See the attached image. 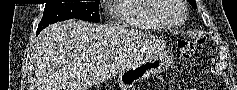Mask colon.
Wrapping results in <instances>:
<instances>
[{
    "mask_svg": "<svg viewBox=\"0 0 237 90\" xmlns=\"http://www.w3.org/2000/svg\"><path fill=\"white\" fill-rule=\"evenodd\" d=\"M201 40L182 39L178 42L182 58L187 61L191 58Z\"/></svg>",
    "mask_w": 237,
    "mask_h": 90,
    "instance_id": "obj_1",
    "label": "colon"
}]
</instances>
